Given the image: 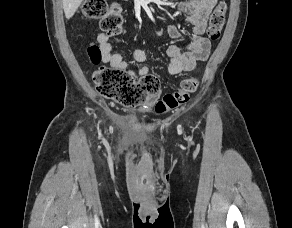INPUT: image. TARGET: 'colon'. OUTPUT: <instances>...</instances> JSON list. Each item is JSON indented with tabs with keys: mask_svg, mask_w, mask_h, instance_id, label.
I'll use <instances>...</instances> for the list:
<instances>
[{
	"mask_svg": "<svg viewBox=\"0 0 292 228\" xmlns=\"http://www.w3.org/2000/svg\"><path fill=\"white\" fill-rule=\"evenodd\" d=\"M226 14L227 5L225 2H220L209 20L207 34L211 40L219 39ZM81 15L86 19H99L100 27L107 35H117L122 31L124 18L120 6L108 7L106 0H85L81 7ZM87 54L92 63H100L102 53L96 44L88 46ZM92 80L101 96L128 107L143 104L149 97L157 95L160 90V82L155 75L148 74L140 80H135L126 71L111 67H101L96 70ZM197 87L198 82L195 78L184 79L178 90L165 94L157 102L156 111L163 113L187 103L190 94Z\"/></svg>",
	"mask_w": 292,
	"mask_h": 228,
	"instance_id": "5ec220e1",
	"label": "colon"
}]
</instances>
